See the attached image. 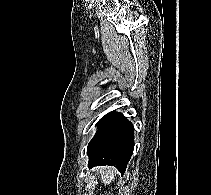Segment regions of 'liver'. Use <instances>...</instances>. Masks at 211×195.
Returning <instances> with one entry per match:
<instances>
[{"instance_id": "6515ba94", "label": "liver", "mask_w": 211, "mask_h": 195, "mask_svg": "<svg viewBox=\"0 0 211 195\" xmlns=\"http://www.w3.org/2000/svg\"><path fill=\"white\" fill-rule=\"evenodd\" d=\"M94 171L100 176V181L104 185H109L118 174L115 168L109 166H99Z\"/></svg>"}]
</instances>
